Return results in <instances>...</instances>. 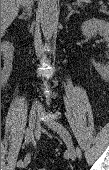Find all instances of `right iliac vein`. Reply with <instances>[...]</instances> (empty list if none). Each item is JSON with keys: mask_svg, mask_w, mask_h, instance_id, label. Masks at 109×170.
<instances>
[{"mask_svg": "<svg viewBox=\"0 0 109 170\" xmlns=\"http://www.w3.org/2000/svg\"><path fill=\"white\" fill-rule=\"evenodd\" d=\"M37 123V113L35 111H32L29 116V122H28V129L26 131V136L31 141L34 137V130ZM30 162V156L27 155L23 161V165L21 167H26Z\"/></svg>", "mask_w": 109, "mask_h": 170, "instance_id": "63e3f726", "label": "right iliac vein"}]
</instances>
